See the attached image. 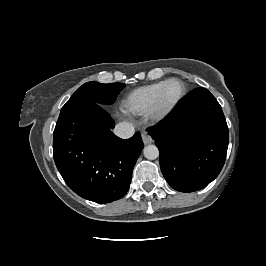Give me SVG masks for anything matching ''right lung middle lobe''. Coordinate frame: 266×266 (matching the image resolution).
Listing matches in <instances>:
<instances>
[{
    "label": "right lung middle lobe",
    "instance_id": "obj_1",
    "mask_svg": "<svg viewBox=\"0 0 266 266\" xmlns=\"http://www.w3.org/2000/svg\"><path fill=\"white\" fill-rule=\"evenodd\" d=\"M124 87L123 83L102 84L93 81L83 84L62 107L57 122L86 103L111 105Z\"/></svg>",
    "mask_w": 266,
    "mask_h": 266
}]
</instances>
